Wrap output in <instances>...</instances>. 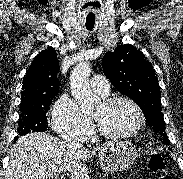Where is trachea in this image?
I'll list each match as a JSON object with an SVG mask.
<instances>
[{
	"label": "trachea",
	"mask_w": 183,
	"mask_h": 179,
	"mask_svg": "<svg viewBox=\"0 0 183 179\" xmlns=\"http://www.w3.org/2000/svg\"><path fill=\"white\" fill-rule=\"evenodd\" d=\"M94 24H95V14L89 13L86 19V28L88 30H92L94 28Z\"/></svg>",
	"instance_id": "3493384b"
}]
</instances>
